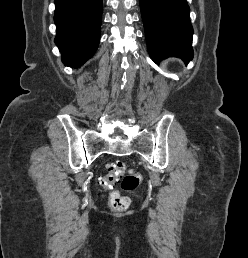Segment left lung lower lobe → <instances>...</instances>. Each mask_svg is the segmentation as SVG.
<instances>
[{"mask_svg": "<svg viewBox=\"0 0 248 258\" xmlns=\"http://www.w3.org/2000/svg\"><path fill=\"white\" fill-rule=\"evenodd\" d=\"M148 52L154 62L193 58L189 6L186 0H139Z\"/></svg>", "mask_w": 248, "mask_h": 258, "instance_id": "obj_1", "label": "left lung lower lobe"}]
</instances>
